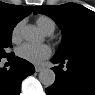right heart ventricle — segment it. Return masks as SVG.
Listing matches in <instances>:
<instances>
[{"instance_id":"right-heart-ventricle-1","label":"right heart ventricle","mask_w":95,"mask_h":95,"mask_svg":"<svg viewBox=\"0 0 95 95\" xmlns=\"http://www.w3.org/2000/svg\"><path fill=\"white\" fill-rule=\"evenodd\" d=\"M38 27L46 34L53 33L56 27L55 22L48 16H39L36 20Z\"/></svg>"}]
</instances>
